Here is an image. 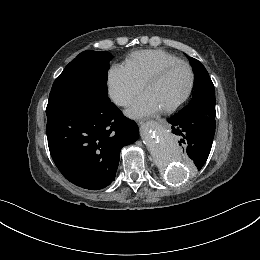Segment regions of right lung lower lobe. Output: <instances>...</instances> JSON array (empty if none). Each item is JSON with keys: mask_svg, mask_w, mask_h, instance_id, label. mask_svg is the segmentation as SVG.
<instances>
[{"mask_svg": "<svg viewBox=\"0 0 260 260\" xmlns=\"http://www.w3.org/2000/svg\"><path fill=\"white\" fill-rule=\"evenodd\" d=\"M52 159L73 184L99 190L115 178L123 146L138 138L137 124L110 99L46 110Z\"/></svg>", "mask_w": 260, "mask_h": 260, "instance_id": "right-lung-lower-lobe-1", "label": "right lung lower lobe"}]
</instances>
